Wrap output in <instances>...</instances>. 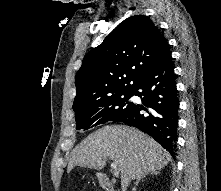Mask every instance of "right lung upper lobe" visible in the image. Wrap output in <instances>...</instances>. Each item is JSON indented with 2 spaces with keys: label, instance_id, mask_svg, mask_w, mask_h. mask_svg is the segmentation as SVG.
<instances>
[{
  "label": "right lung upper lobe",
  "instance_id": "1",
  "mask_svg": "<svg viewBox=\"0 0 221 191\" xmlns=\"http://www.w3.org/2000/svg\"><path fill=\"white\" fill-rule=\"evenodd\" d=\"M169 52L167 40L150 18L135 15L125 19L85 56L75 77V113L133 91L143 76Z\"/></svg>",
  "mask_w": 221,
  "mask_h": 191
}]
</instances>
